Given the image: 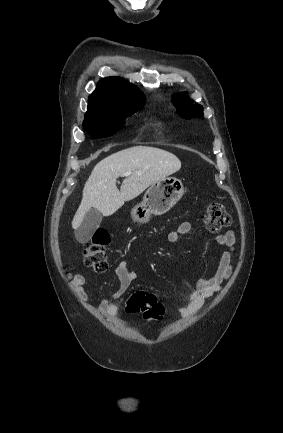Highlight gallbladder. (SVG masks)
I'll use <instances>...</instances> for the list:
<instances>
[{
  "instance_id": "bac80fb5",
  "label": "gallbladder",
  "mask_w": 283,
  "mask_h": 433,
  "mask_svg": "<svg viewBox=\"0 0 283 433\" xmlns=\"http://www.w3.org/2000/svg\"><path fill=\"white\" fill-rule=\"evenodd\" d=\"M101 221L102 214L100 210H96V208H90V210L86 212L79 229H76L75 231V237L77 241H79V243H88L92 235H94L96 229H98Z\"/></svg>"
}]
</instances>
